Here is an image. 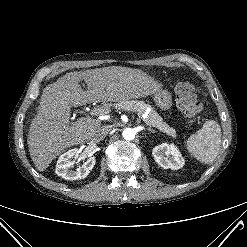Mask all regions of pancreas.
<instances>
[{"mask_svg":"<svg viewBox=\"0 0 247 247\" xmlns=\"http://www.w3.org/2000/svg\"><path fill=\"white\" fill-rule=\"evenodd\" d=\"M116 108L121 110L134 111L137 112L138 115L140 116H142L147 109H150L146 117L143 118V121L146 123V125L150 127H155L159 131L173 138L176 137V131L168 124H166L163 121V118L155 110H153L150 105L146 104L143 101H138V100L120 101L119 103L116 104Z\"/></svg>","mask_w":247,"mask_h":247,"instance_id":"cf45deb5","label":"pancreas"}]
</instances>
